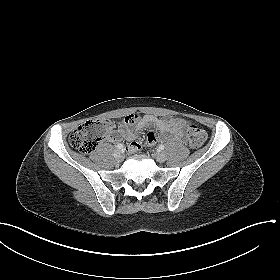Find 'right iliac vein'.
Listing matches in <instances>:
<instances>
[{
	"label": "right iliac vein",
	"instance_id": "obj_1",
	"mask_svg": "<svg viewBox=\"0 0 280 280\" xmlns=\"http://www.w3.org/2000/svg\"><path fill=\"white\" fill-rule=\"evenodd\" d=\"M114 157L116 159V161L121 162L123 160V152L121 150H116L114 153Z\"/></svg>",
	"mask_w": 280,
	"mask_h": 280
}]
</instances>
